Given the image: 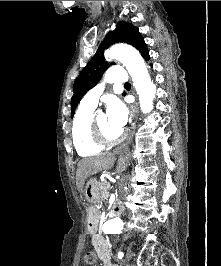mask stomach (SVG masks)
<instances>
[{
	"label": "stomach",
	"mask_w": 221,
	"mask_h": 266,
	"mask_svg": "<svg viewBox=\"0 0 221 266\" xmlns=\"http://www.w3.org/2000/svg\"><path fill=\"white\" fill-rule=\"evenodd\" d=\"M82 193L85 200L93 204V206L88 209L87 215L88 226L93 228L98 218V206L102 202L99 182L95 178H90L87 181Z\"/></svg>",
	"instance_id": "1"
}]
</instances>
